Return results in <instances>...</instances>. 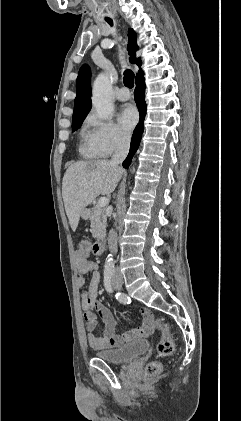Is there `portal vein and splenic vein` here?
Masks as SVG:
<instances>
[{
  "label": "portal vein and splenic vein",
  "instance_id": "portal-vein-and-splenic-vein-1",
  "mask_svg": "<svg viewBox=\"0 0 241 421\" xmlns=\"http://www.w3.org/2000/svg\"><path fill=\"white\" fill-rule=\"evenodd\" d=\"M109 203V199L107 197H101L97 202V207H105Z\"/></svg>",
  "mask_w": 241,
  "mask_h": 421
}]
</instances>
